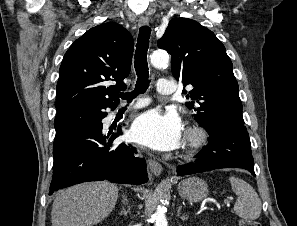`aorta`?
<instances>
[{"mask_svg":"<svg viewBox=\"0 0 297 226\" xmlns=\"http://www.w3.org/2000/svg\"><path fill=\"white\" fill-rule=\"evenodd\" d=\"M151 64L156 68H162L168 65L169 63V56L164 51H155L150 56ZM155 226H167L168 222L165 216V211L163 207L158 206L155 214Z\"/></svg>","mask_w":297,"mask_h":226,"instance_id":"aorta-1","label":"aorta"}]
</instances>
